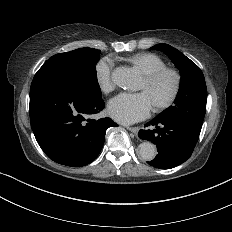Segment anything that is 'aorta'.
Returning <instances> with one entry per match:
<instances>
[{
	"instance_id": "762f6f07",
	"label": "aorta",
	"mask_w": 232,
	"mask_h": 232,
	"mask_svg": "<svg viewBox=\"0 0 232 232\" xmlns=\"http://www.w3.org/2000/svg\"><path fill=\"white\" fill-rule=\"evenodd\" d=\"M113 81L122 88H133L138 77L129 68L118 67L113 71ZM139 156L146 161H151L157 154L156 146L151 142H143L139 145Z\"/></svg>"
}]
</instances>
